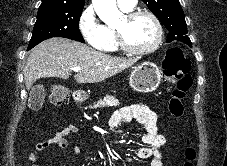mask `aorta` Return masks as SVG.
Masks as SVG:
<instances>
[{
    "instance_id": "obj_1",
    "label": "aorta",
    "mask_w": 227,
    "mask_h": 166,
    "mask_svg": "<svg viewBox=\"0 0 227 166\" xmlns=\"http://www.w3.org/2000/svg\"><path fill=\"white\" fill-rule=\"evenodd\" d=\"M92 4L99 18L109 26L123 18V14L117 8L116 0H92Z\"/></svg>"
}]
</instances>
